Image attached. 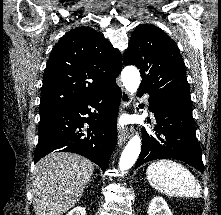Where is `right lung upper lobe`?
<instances>
[{"label": "right lung upper lobe", "instance_id": "cb5924a9", "mask_svg": "<svg viewBox=\"0 0 221 215\" xmlns=\"http://www.w3.org/2000/svg\"><path fill=\"white\" fill-rule=\"evenodd\" d=\"M121 53L91 27L66 33L49 57L39 112H50L115 83L121 71Z\"/></svg>", "mask_w": 221, "mask_h": 215}]
</instances>
